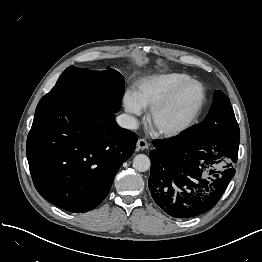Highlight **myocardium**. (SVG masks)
Masks as SVG:
<instances>
[{
	"label": "myocardium",
	"mask_w": 262,
	"mask_h": 262,
	"mask_svg": "<svg viewBox=\"0 0 262 262\" xmlns=\"http://www.w3.org/2000/svg\"><path fill=\"white\" fill-rule=\"evenodd\" d=\"M190 84H197L202 88V98L201 101L195 110V112L192 114V116L183 124L173 127V128H159L155 126V120L157 115L165 109L179 94V92L184 89L186 86ZM207 99V93L204 85L196 80V79H188L180 84H178L176 87H174L169 93H167L160 101H158L156 104H154L147 117V121L149 125L156 131V133L162 137H175L179 136L186 131H188L191 127L195 125L198 118L200 117L202 110L204 108V105L206 103Z\"/></svg>",
	"instance_id": "1"
}]
</instances>
